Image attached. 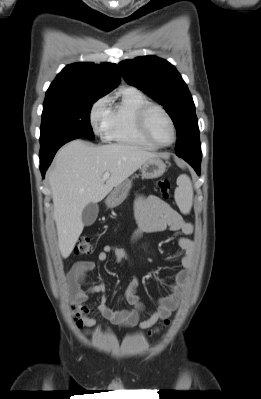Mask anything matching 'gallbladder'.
I'll list each match as a JSON object with an SVG mask.
<instances>
[{"mask_svg":"<svg viewBox=\"0 0 261 399\" xmlns=\"http://www.w3.org/2000/svg\"><path fill=\"white\" fill-rule=\"evenodd\" d=\"M99 212V207L96 203H89L85 206V208L82 211V222L85 226H91Z\"/></svg>","mask_w":261,"mask_h":399,"instance_id":"gallbladder-1","label":"gallbladder"}]
</instances>
